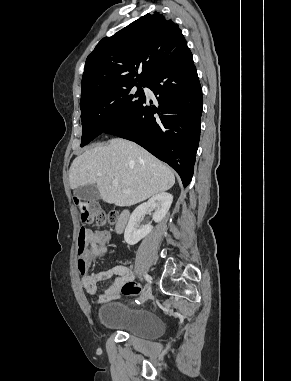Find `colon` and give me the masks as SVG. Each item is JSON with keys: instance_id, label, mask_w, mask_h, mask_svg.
Instances as JSON below:
<instances>
[{"instance_id": "1", "label": "colon", "mask_w": 291, "mask_h": 381, "mask_svg": "<svg viewBox=\"0 0 291 381\" xmlns=\"http://www.w3.org/2000/svg\"><path fill=\"white\" fill-rule=\"evenodd\" d=\"M75 205L80 213L81 219L87 223H93L95 225H104L105 223H114L116 220L115 213L104 212L97 203L86 201L84 199L76 198ZM90 234L89 230L82 227L78 236V255L79 263L83 268L86 267V261L89 254L88 242ZM140 291L139 286L134 282L125 283L121 292L124 295H135Z\"/></svg>"}]
</instances>
